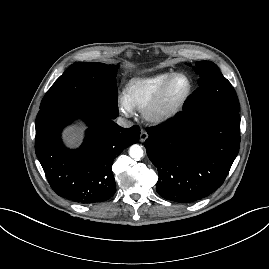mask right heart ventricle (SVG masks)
Here are the masks:
<instances>
[{
    "label": "right heart ventricle",
    "instance_id": "right-heart-ventricle-1",
    "mask_svg": "<svg viewBox=\"0 0 269 269\" xmlns=\"http://www.w3.org/2000/svg\"><path fill=\"white\" fill-rule=\"evenodd\" d=\"M172 74V72H161L148 77L131 79L124 89L125 99L133 109L143 110Z\"/></svg>",
    "mask_w": 269,
    "mask_h": 269
}]
</instances>
